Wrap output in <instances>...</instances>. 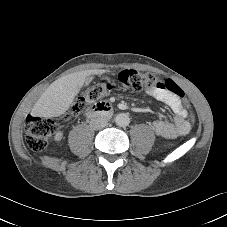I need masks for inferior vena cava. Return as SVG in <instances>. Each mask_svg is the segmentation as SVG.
I'll list each match as a JSON object with an SVG mask.
<instances>
[{"label": "inferior vena cava", "instance_id": "1", "mask_svg": "<svg viewBox=\"0 0 227 227\" xmlns=\"http://www.w3.org/2000/svg\"><path fill=\"white\" fill-rule=\"evenodd\" d=\"M108 125V121L104 117H96L91 119L90 127L94 130L102 129Z\"/></svg>", "mask_w": 227, "mask_h": 227}]
</instances>
